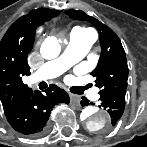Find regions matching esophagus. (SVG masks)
Instances as JSON below:
<instances>
[{
  "mask_svg": "<svg viewBox=\"0 0 147 147\" xmlns=\"http://www.w3.org/2000/svg\"><path fill=\"white\" fill-rule=\"evenodd\" d=\"M70 100L72 103L74 104H79L80 102V97L78 95H73V94H70Z\"/></svg>",
  "mask_w": 147,
  "mask_h": 147,
  "instance_id": "obj_1",
  "label": "esophagus"
}]
</instances>
